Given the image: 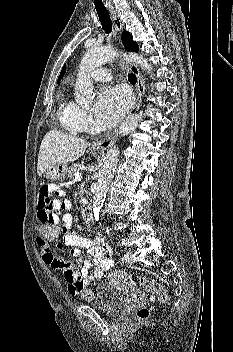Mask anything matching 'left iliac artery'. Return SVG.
<instances>
[{
	"mask_svg": "<svg viewBox=\"0 0 233 352\" xmlns=\"http://www.w3.org/2000/svg\"><path fill=\"white\" fill-rule=\"evenodd\" d=\"M126 260V255L124 254L123 256H122V261H125Z\"/></svg>",
	"mask_w": 233,
	"mask_h": 352,
	"instance_id": "44dca946",
	"label": "left iliac artery"
}]
</instances>
